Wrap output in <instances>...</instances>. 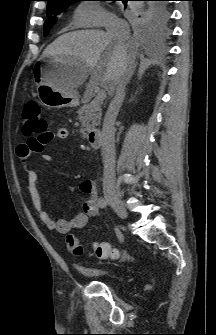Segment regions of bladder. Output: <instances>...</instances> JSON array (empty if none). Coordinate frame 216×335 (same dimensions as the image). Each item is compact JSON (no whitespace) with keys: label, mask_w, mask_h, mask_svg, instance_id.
<instances>
[{"label":"bladder","mask_w":216,"mask_h":335,"mask_svg":"<svg viewBox=\"0 0 216 335\" xmlns=\"http://www.w3.org/2000/svg\"><path fill=\"white\" fill-rule=\"evenodd\" d=\"M77 270L84 275L92 277H110L112 274L104 269L95 267L78 266Z\"/></svg>","instance_id":"31cf9c89"}]
</instances>
